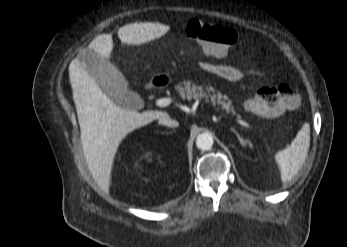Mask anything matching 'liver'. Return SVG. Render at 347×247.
I'll use <instances>...</instances> for the list:
<instances>
[{"label": "liver", "instance_id": "6515ba94", "mask_svg": "<svg viewBox=\"0 0 347 247\" xmlns=\"http://www.w3.org/2000/svg\"><path fill=\"white\" fill-rule=\"evenodd\" d=\"M167 30L168 27L163 24L149 22L125 25L117 34L123 43L139 45L161 37ZM113 47L112 34H101L81 52L91 50L109 60ZM78 55L69 65V79L82 146L93 177L104 190H108L115 154L121 141L130 132L159 119L165 112L139 113L117 106L79 63Z\"/></svg>", "mask_w": 347, "mask_h": 247}]
</instances>
